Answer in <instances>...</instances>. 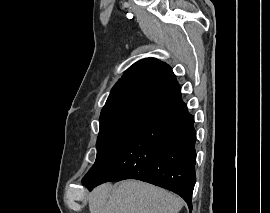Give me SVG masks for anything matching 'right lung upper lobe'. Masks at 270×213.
<instances>
[{"label": "right lung upper lobe", "mask_w": 270, "mask_h": 213, "mask_svg": "<svg viewBox=\"0 0 270 213\" xmlns=\"http://www.w3.org/2000/svg\"><path fill=\"white\" fill-rule=\"evenodd\" d=\"M181 91L169 65L155 58H145L133 64L112 88L101 114L133 104L158 105Z\"/></svg>", "instance_id": "obj_1"}]
</instances>
